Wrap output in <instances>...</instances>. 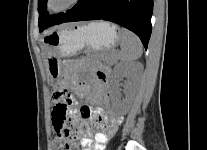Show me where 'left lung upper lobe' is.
I'll return each instance as SVG.
<instances>
[{"mask_svg": "<svg viewBox=\"0 0 207 150\" xmlns=\"http://www.w3.org/2000/svg\"><path fill=\"white\" fill-rule=\"evenodd\" d=\"M47 0H38V12H39V31H43L45 28L55 25L64 13L49 16L46 12Z\"/></svg>", "mask_w": 207, "mask_h": 150, "instance_id": "1", "label": "left lung upper lobe"}]
</instances>
